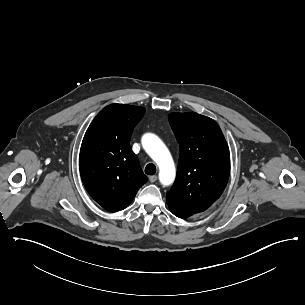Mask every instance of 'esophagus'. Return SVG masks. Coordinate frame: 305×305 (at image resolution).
<instances>
[{"label": "esophagus", "instance_id": "obj_1", "mask_svg": "<svg viewBox=\"0 0 305 305\" xmlns=\"http://www.w3.org/2000/svg\"><path fill=\"white\" fill-rule=\"evenodd\" d=\"M157 179H158V177L156 175H152V176L149 177V181L151 183L155 182Z\"/></svg>", "mask_w": 305, "mask_h": 305}]
</instances>
